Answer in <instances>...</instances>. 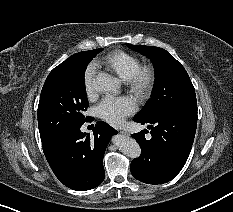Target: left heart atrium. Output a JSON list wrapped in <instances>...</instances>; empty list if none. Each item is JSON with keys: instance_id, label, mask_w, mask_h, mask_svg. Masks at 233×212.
<instances>
[{"instance_id": "left-heart-atrium-1", "label": "left heart atrium", "mask_w": 233, "mask_h": 212, "mask_svg": "<svg viewBox=\"0 0 233 212\" xmlns=\"http://www.w3.org/2000/svg\"><path fill=\"white\" fill-rule=\"evenodd\" d=\"M135 109L134 100L128 96L106 97L98 105L97 113L106 122L119 126Z\"/></svg>"}]
</instances>
